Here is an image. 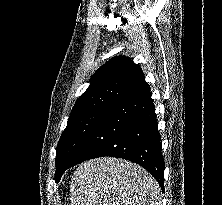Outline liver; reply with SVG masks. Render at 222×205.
<instances>
[{
	"instance_id": "obj_1",
	"label": "liver",
	"mask_w": 222,
	"mask_h": 205,
	"mask_svg": "<svg viewBox=\"0 0 222 205\" xmlns=\"http://www.w3.org/2000/svg\"><path fill=\"white\" fill-rule=\"evenodd\" d=\"M158 182L141 166L101 157L80 164L71 178V205H161Z\"/></svg>"
}]
</instances>
